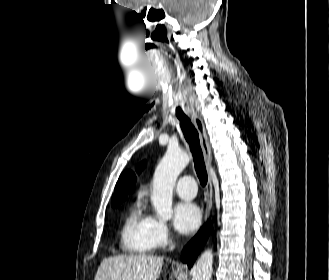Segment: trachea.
Masks as SVG:
<instances>
[{"instance_id":"obj_1","label":"trachea","mask_w":329,"mask_h":280,"mask_svg":"<svg viewBox=\"0 0 329 280\" xmlns=\"http://www.w3.org/2000/svg\"><path fill=\"white\" fill-rule=\"evenodd\" d=\"M181 130L186 141L190 146V150L194 159L195 170L199 178L200 184L204 187L207 184L208 176L202 149L200 146L199 134L191 120L185 114H176Z\"/></svg>"}]
</instances>
